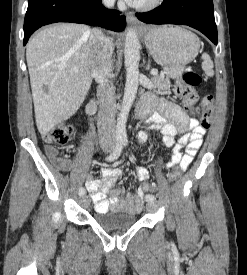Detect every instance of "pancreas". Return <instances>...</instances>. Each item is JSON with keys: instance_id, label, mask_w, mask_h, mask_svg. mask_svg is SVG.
<instances>
[{"instance_id": "cf45deb5", "label": "pancreas", "mask_w": 247, "mask_h": 275, "mask_svg": "<svg viewBox=\"0 0 247 275\" xmlns=\"http://www.w3.org/2000/svg\"><path fill=\"white\" fill-rule=\"evenodd\" d=\"M152 81L159 91L165 93L170 90L171 84L168 77L165 78L164 76H154Z\"/></svg>"}]
</instances>
